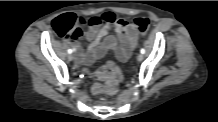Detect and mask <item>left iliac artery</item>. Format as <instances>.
<instances>
[{
  "label": "left iliac artery",
  "mask_w": 218,
  "mask_h": 122,
  "mask_svg": "<svg viewBox=\"0 0 218 122\" xmlns=\"http://www.w3.org/2000/svg\"><path fill=\"white\" fill-rule=\"evenodd\" d=\"M140 52H141L142 54H144V53H145V49L142 48V49L140 50Z\"/></svg>",
  "instance_id": "obj_1"
}]
</instances>
